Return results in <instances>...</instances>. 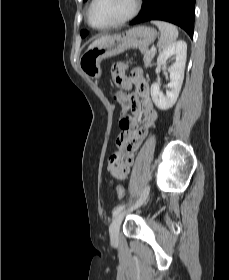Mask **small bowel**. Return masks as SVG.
<instances>
[{"label": "small bowel", "instance_id": "1", "mask_svg": "<svg viewBox=\"0 0 229 280\" xmlns=\"http://www.w3.org/2000/svg\"><path fill=\"white\" fill-rule=\"evenodd\" d=\"M125 70V66L115 65L111 71L112 79L120 87L130 88L132 83L136 87V91L128 97V103L121 102V96L125 95L123 92H116L114 94V99L122 105L124 111L128 109L132 111V116H129L131 125L127 129H122L117 136L116 143L119 148L129 147L131 151L130 160L132 161L134 152L141 145L149 128L158 119V112L155 110L150 97L148 80L140 73H135L134 77L130 79L126 76ZM138 115H144V119L138 121ZM110 174L120 180L127 178V172L119 173L110 171Z\"/></svg>", "mask_w": 229, "mask_h": 280}]
</instances>
